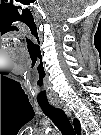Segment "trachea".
<instances>
[{"label": "trachea", "instance_id": "1", "mask_svg": "<svg viewBox=\"0 0 101 135\" xmlns=\"http://www.w3.org/2000/svg\"><path fill=\"white\" fill-rule=\"evenodd\" d=\"M43 113L48 116L63 135H74V129L69 121V118L61 108H55L49 102L39 103Z\"/></svg>", "mask_w": 101, "mask_h": 135}]
</instances>
